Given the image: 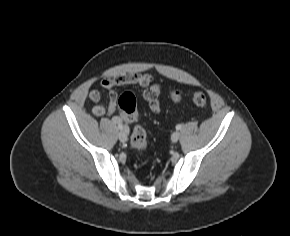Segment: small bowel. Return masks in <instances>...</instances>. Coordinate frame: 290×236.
Masks as SVG:
<instances>
[{"label": "small bowel", "mask_w": 290, "mask_h": 236, "mask_svg": "<svg viewBox=\"0 0 290 236\" xmlns=\"http://www.w3.org/2000/svg\"><path fill=\"white\" fill-rule=\"evenodd\" d=\"M138 86L142 89V96L148 103L150 110L153 113H159L161 103L159 100L160 86L154 83V79L149 74H124L115 78H104L100 82V87L93 89L89 93L90 100L94 103L93 113L96 116L105 114L113 115L116 113L117 94L115 89L118 87ZM102 90L109 91V106L105 107L101 102ZM115 122L129 121L126 115H116ZM130 122V121H129Z\"/></svg>", "instance_id": "obj_1"}]
</instances>
